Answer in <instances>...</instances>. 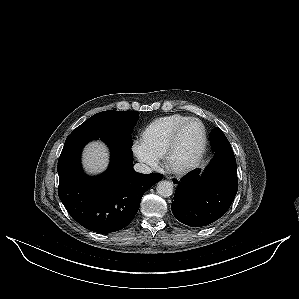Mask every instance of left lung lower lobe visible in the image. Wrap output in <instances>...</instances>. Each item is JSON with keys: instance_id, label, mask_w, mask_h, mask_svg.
I'll list each match as a JSON object with an SVG mask.
<instances>
[{"instance_id": "1", "label": "left lung lower lobe", "mask_w": 299, "mask_h": 299, "mask_svg": "<svg viewBox=\"0 0 299 299\" xmlns=\"http://www.w3.org/2000/svg\"><path fill=\"white\" fill-rule=\"evenodd\" d=\"M215 155L205 171L186 175L174 195L173 215L180 222L202 227L222 217L231 206L237 190L236 160L231 147L211 144Z\"/></svg>"}]
</instances>
